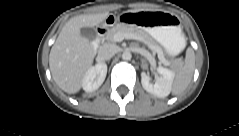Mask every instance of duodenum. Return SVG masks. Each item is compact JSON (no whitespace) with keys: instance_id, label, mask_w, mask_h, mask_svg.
<instances>
[{"instance_id":"duodenum-1","label":"duodenum","mask_w":239,"mask_h":136,"mask_svg":"<svg viewBox=\"0 0 239 136\" xmlns=\"http://www.w3.org/2000/svg\"><path fill=\"white\" fill-rule=\"evenodd\" d=\"M117 20L118 18L116 16H109L107 19V24L97 29L98 35L104 36L107 33V31L110 29L112 24L115 23ZM99 43H100L99 39L94 40L91 45L92 50H96L99 46Z\"/></svg>"}]
</instances>
